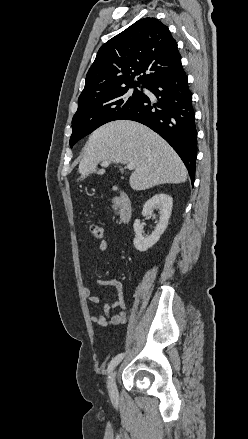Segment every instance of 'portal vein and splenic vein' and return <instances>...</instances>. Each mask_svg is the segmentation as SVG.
<instances>
[{"instance_id": "18ae733b", "label": "portal vein and splenic vein", "mask_w": 248, "mask_h": 439, "mask_svg": "<svg viewBox=\"0 0 248 439\" xmlns=\"http://www.w3.org/2000/svg\"><path fill=\"white\" fill-rule=\"evenodd\" d=\"M108 165H109V162H102V163H101V166H102V167H107ZM134 167H135L134 163H128V164H127V168H128L129 170H133Z\"/></svg>"}]
</instances>
